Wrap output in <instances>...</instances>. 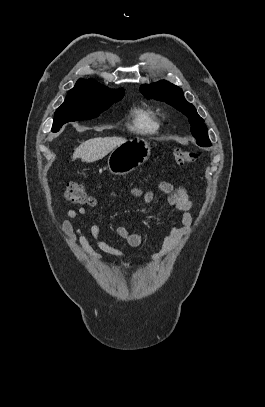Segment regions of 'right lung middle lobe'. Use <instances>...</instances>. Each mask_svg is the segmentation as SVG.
Instances as JSON below:
<instances>
[{
    "mask_svg": "<svg viewBox=\"0 0 265 407\" xmlns=\"http://www.w3.org/2000/svg\"><path fill=\"white\" fill-rule=\"evenodd\" d=\"M123 95V90L110 91L94 83H76L75 87L68 92L64 103L56 110L52 131L57 132L63 124L70 121L97 117Z\"/></svg>",
    "mask_w": 265,
    "mask_h": 407,
    "instance_id": "dd1d6c3e",
    "label": "right lung middle lobe"
}]
</instances>
